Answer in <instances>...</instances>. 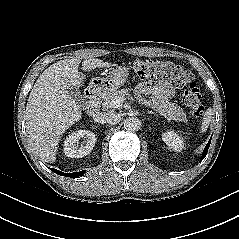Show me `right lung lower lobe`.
<instances>
[{"label": "right lung lower lobe", "instance_id": "98d812e1", "mask_svg": "<svg viewBox=\"0 0 239 239\" xmlns=\"http://www.w3.org/2000/svg\"><path fill=\"white\" fill-rule=\"evenodd\" d=\"M51 170L53 172H55L56 174H58V175H62V176H66V177H73V178L78 177V176H80L81 174L84 173L83 171L82 172H78V173L77 172H75V173H63V172H61L59 170H56L54 168H51Z\"/></svg>", "mask_w": 239, "mask_h": 239}]
</instances>
